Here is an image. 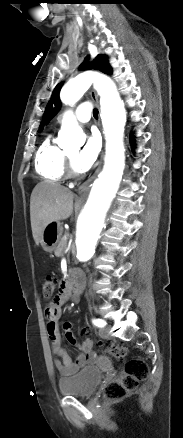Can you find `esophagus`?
<instances>
[{
  "mask_svg": "<svg viewBox=\"0 0 183 438\" xmlns=\"http://www.w3.org/2000/svg\"><path fill=\"white\" fill-rule=\"evenodd\" d=\"M90 95H91L92 100H93L94 102H96V104L98 105V95H97V93L95 92V90H91ZM103 158H104V151H102V153H101V157H100L99 165H98L96 171L94 172V174H93L90 178H88V179H87V180H86V181H85V182H84V183L78 188V193H79V194H83V193H85V192L89 189V187H90L92 181L96 178V176L98 175V173H99L100 170H101Z\"/></svg>",
  "mask_w": 183,
  "mask_h": 438,
  "instance_id": "esophagus-1",
  "label": "esophagus"
}]
</instances>
